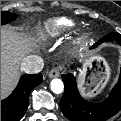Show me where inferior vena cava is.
<instances>
[{"mask_svg":"<svg viewBox=\"0 0 121 121\" xmlns=\"http://www.w3.org/2000/svg\"><path fill=\"white\" fill-rule=\"evenodd\" d=\"M21 70L27 74L40 73L44 67L43 59L38 55H29L20 65Z\"/></svg>","mask_w":121,"mask_h":121,"instance_id":"inferior-vena-cava-1","label":"inferior vena cava"}]
</instances>
